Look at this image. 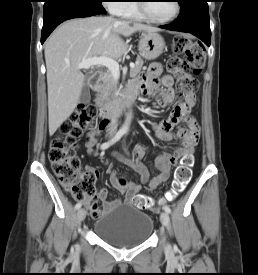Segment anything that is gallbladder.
<instances>
[{
	"mask_svg": "<svg viewBox=\"0 0 258 275\" xmlns=\"http://www.w3.org/2000/svg\"><path fill=\"white\" fill-rule=\"evenodd\" d=\"M90 100H91L90 89L86 84H84L82 87V90H81L80 97H79V103L88 104L90 102Z\"/></svg>",
	"mask_w": 258,
	"mask_h": 275,
	"instance_id": "gallbladder-1",
	"label": "gallbladder"
}]
</instances>
